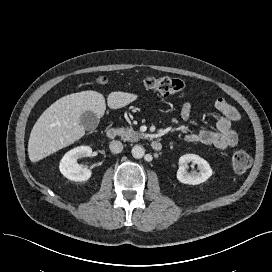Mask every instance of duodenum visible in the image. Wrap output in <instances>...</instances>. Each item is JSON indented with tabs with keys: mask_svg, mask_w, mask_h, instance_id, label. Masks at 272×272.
Wrapping results in <instances>:
<instances>
[{
	"mask_svg": "<svg viewBox=\"0 0 272 272\" xmlns=\"http://www.w3.org/2000/svg\"><path fill=\"white\" fill-rule=\"evenodd\" d=\"M117 135L118 133L115 128H111L107 131V137L110 140H114L117 137ZM150 145H151V148L155 151H160L162 149V144L157 140L151 141Z\"/></svg>",
	"mask_w": 272,
	"mask_h": 272,
	"instance_id": "duodenum-1",
	"label": "duodenum"
}]
</instances>
